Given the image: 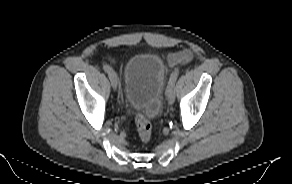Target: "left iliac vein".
<instances>
[{
	"label": "left iliac vein",
	"instance_id": "left-iliac-vein-1",
	"mask_svg": "<svg viewBox=\"0 0 292 184\" xmlns=\"http://www.w3.org/2000/svg\"><path fill=\"white\" fill-rule=\"evenodd\" d=\"M166 97L169 105H173L175 102V91L174 88L171 87L168 91H166Z\"/></svg>",
	"mask_w": 292,
	"mask_h": 184
}]
</instances>
